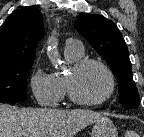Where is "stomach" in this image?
Segmentation results:
<instances>
[{
    "label": "stomach",
    "mask_w": 144,
    "mask_h": 137,
    "mask_svg": "<svg viewBox=\"0 0 144 137\" xmlns=\"http://www.w3.org/2000/svg\"><path fill=\"white\" fill-rule=\"evenodd\" d=\"M91 137H118V132L113 122L109 118L104 117L95 122Z\"/></svg>",
    "instance_id": "stomach-1"
}]
</instances>
